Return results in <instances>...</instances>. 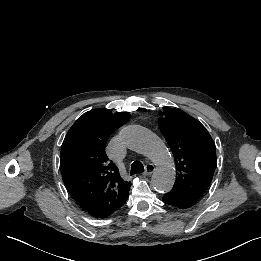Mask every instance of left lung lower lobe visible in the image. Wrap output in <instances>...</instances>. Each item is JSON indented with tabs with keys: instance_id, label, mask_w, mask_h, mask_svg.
<instances>
[{
	"instance_id": "1",
	"label": "left lung lower lobe",
	"mask_w": 261,
	"mask_h": 261,
	"mask_svg": "<svg viewBox=\"0 0 261 261\" xmlns=\"http://www.w3.org/2000/svg\"><path fill=\"white\" fill-rule=\"evenodd\" d=\"M198 200L199 198H196L175 188H173L163 197L164 203L178 207L180 209L189 208L196 204Z\"/></svg>"
}]
</instances>
